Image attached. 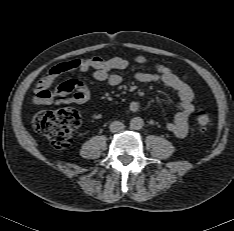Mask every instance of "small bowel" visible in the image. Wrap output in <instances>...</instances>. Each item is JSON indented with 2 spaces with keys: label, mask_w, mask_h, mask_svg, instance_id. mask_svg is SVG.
Segmentation results:
<instances>
[{
  "label": "small bowel",
  "mask_w": 234,
  "mask_h": 231,
  "mask_svg": "<svg viewBox=\"0 0 234 231\" xmlns=\"http://www.w3.org/2000/svg\"><path fill=\"white\" fill-rule=\"evenodd\" d=\"M131 63L151 66L153 72L138 71L135 80L139 83H159L175 91L179 98V110L174 119L166 123V128L178 138H184L188 133V120L194 111V93L185 77H180L167 65L151 62L146 56L137 55L132 59L125 57H101L83 58L77 62L78 71L93 70V77L97 81L107 82L112 87L122 83V77L113 73L115 70L128 68ZM58 65L50 69L47 74L37 83L34 89L33 103L35 105L58 104H83L90 100L91 90L81 79H72L64 82L55 93L50 91V86L63 71ZM139 109L137 101H131L128 105L129 112Z\"/></svg>",
  "instance_id": "1"
}]
</instances>
